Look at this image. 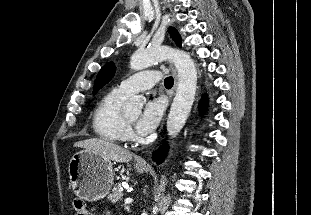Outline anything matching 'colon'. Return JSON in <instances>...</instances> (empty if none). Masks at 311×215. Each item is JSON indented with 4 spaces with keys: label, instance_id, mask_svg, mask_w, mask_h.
Segmentation results:
<instances>
[{
    "label": "colon",
    "instance_id": "5ec220e1",
    "mask_svg": "<svg viewBox=\"0 0 311 215\" xmlns=\"http://www.w3.org/2000/svg\"><path fill=\"white\" fill-rule=\"evenodd\" d=\"M73 207L74 215H92L91 211L82 200H75Z\"/></svg>",
    "mask_w": 311,
    "mask_h": 215
}]
</instances>
